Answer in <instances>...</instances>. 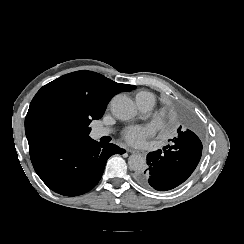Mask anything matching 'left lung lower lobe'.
Here are the masks:
<instances>
[{
    "label": "left lung lower lobe",
    "instance_id": "0a47b994",
    "mask_svg": "<svg viewBox=\"0 0 244 244\" xmlns=\"http://www.w3.org/2000/svg\"><path fill=\"white\" fill-rule=\"evenodd\" d=\"M199 128L193 118L184 116L177 135L170 145L147 155L148 168L136 179L145 187L159 191L171 190L183 183L195 170L202 154Z\"/></svg>",
    "mask_w": 244,
    "mask_h": 244
}]
</instances>
